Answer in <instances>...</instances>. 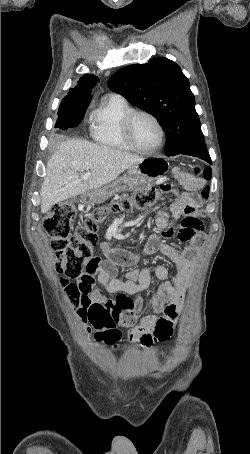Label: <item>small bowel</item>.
<instances>
[{
  "label": "small bowel",
  "mask_w": 250,
  "mask_h": 454,
  "mask_svg": "<svg viewBox=\"0 0 250 454\" xmlns=\"http://www.w3.org/2000/svg\"><path fill=\"white\" fill-rule=\"evenodd\" d=\"M180 181L187 192L179 197L169 212H162L158 215L156 223L161 229L160 236L151 235L141 254L111 248L105 243L103 249L106 259L94 257L85 272L80 275L78 286L81 301L78 316L83 323L88 321L86 312L89 306L102 304L120 321L129 323L131 341L151 345L155 342L166 341L172 336L182 311L184 294L191 280L197 254L205 239L203 223L198 215L200 197L197 194L203 187L204 180L193 175L183 174ZM182 217L184 219L178 238L187 245L182 250H178L171 245L162 243L160 237H171L173 235L171 221ZM157 251L176 264L177 274L172 280H168V270L164 266L133 270L128 273L125 281L115 277L117 266H124L130 261L139 259L142 255H150ZM152 275L162 281V284L153 298L154 313L143 314V301L139 293L149 287ZM96 280L104 286L109 294H116V298H106L95 286ZM129 295H136V297L131 299L128 297ZM85 331L89 333L91 328L85 326Z\"/></svg>",
  "instance_id": "c3829d8e"
}]
</instances>
